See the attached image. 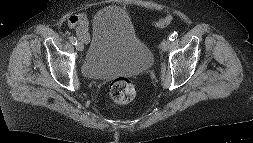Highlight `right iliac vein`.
Wrapping results in <instances>:
<instances>
[{
    "instance_id": "right-iliac-vein-1",
    "label": "right iliac vein",
    "mask_w": 253,
    "mask_h": 143,
    "mask_svg": "<svg viewBox=\"0 0 253 143\" xmlns=\"http://www.w3.org/2000/svg\"><path fill=\"white\" fill-rule=\"evenodd\" d=\"M76 49H77L78 51H83V49H84L83 43H82V42H77V44H76Z\"/></svg>"
}]
</instances>
